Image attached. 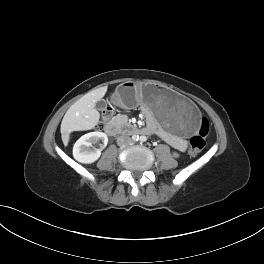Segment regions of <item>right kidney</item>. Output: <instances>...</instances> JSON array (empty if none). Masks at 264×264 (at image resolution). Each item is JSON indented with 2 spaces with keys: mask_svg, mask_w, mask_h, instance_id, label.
<instances>
[{
  "mask_svg": "<svg viewBox=\"0 0 264 264\" xmlns=\"http://www.w3.org/2000/svg\"><path fill=\"white\" fill-rule=\"evenodd\" d=\"M100 140L104 143L103 147H105L108 143V137L103 132H90L80 137L73 147L74 158L84 164H91L98 160L101 150H92L90 147Z\"/></svg>",
  "mask_w": 264,
  "mask_h": 264,
  "instance_id": "obj_1",
  "label": "right kidney"
}]
</instances>
